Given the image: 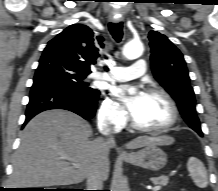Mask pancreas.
Returning a JSON list of instances; mask_svg holds the SVG:
<instances>
[{"mask_svg":"<svg viewBox=\"0 0 218 191\" xmlns=\"http://www.w3.org/2000/svg\"><path fill=\"white\" fill-rule=\"evenodd\" d=\"M154 184L166 185L168 182V178L165 176H161L158 178H151L150 179Z\"/></svg>","mask_w":218,"mask_h":191,"instance_id":"pancreas-1","label":"pancreas"}]
</instances>
